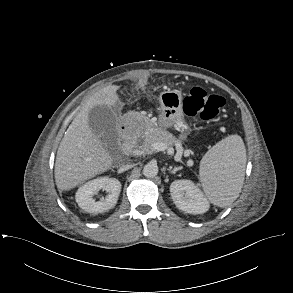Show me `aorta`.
<instances>
[{
	"instance_id": "aorta-1",
	"label": "aorta",
	"mask_w": 293,
	"mask_h": 293,
	"mask_svg": "<svg viewBox=\"0 0 293 293\" xmlns=\"http://www.w3.org/2000/svg\"><path fill=\"white\" fill-rule=\"evenodd\" d=\"M158 174V166L155 162H149L143 168V175L147 178H153Z\"/></svg>"
}]
</instances>
